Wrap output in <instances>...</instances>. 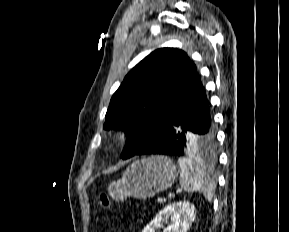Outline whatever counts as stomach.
Segmentation results:
<instances>
[{
    "mask_svg": "<svg viewBox=\"0 0 289 232\" xmlns=\"http://www.w3.org/2000/svg\"><path fill=\"white\" fill-rule=\"evenodd\" d=\"M177 176V168L165 156H152L133 162L121 179L113 181L109 195L116 201L127 197L147 199L172 186Z\"/></svg>",
    "mask_w": 289,
    "mask_h": 232,
    "instance_id": "stomach-1",
    "label": "stomach"
}]
</instances>
